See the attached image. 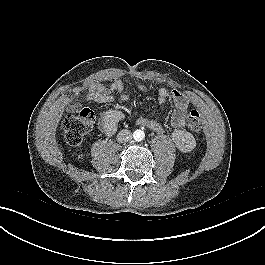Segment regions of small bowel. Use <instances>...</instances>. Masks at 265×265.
Here are the masks:
<instances>
[{
    "mask_svg": "<svg viewBox=\"0 0 265 265\" xmlns=\"http://www.w3.org/2000/svg\"><path fill=\"white\" fill-rule=\"evenodd\" d=\"M137 88L140 91H146L147 86L139 82ZM116 99L127 101L128 96L124 91V83L120 79H115L109 86L101 83H92L84 95V100L94 102L97 104H106L114 102ZM168 101L173 103V110L170 117V124L175 128L172 133V140L176 147L184 153L191 152L195 147V140L191 133L184 129L186 114L190 105V98L179 90L169 91L165 87L158 90V102L165 104ZM79 109L78 104H71L69 110L76 112ZM123 113L119 110H110L105 112L99 121V127L105 135H112L117 129L118 123L122 120ZM140 126L148 128L153 131H162L163 125L148 117L140 116L137 119Z\"/></svg>",
    "mask_w": 265,
    "mask_h": 265,
    "instance_id": "obj_1",
    "label": "small bowel"
}]
</instances>
